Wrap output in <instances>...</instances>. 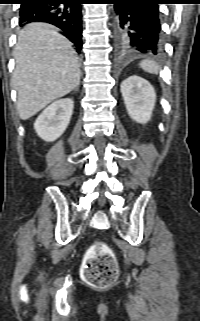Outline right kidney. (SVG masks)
<instances>
[{"label": "right kidney", "mask_w": 200, "mask_h": 321, "mask_svg": "<svg viewBox=\"0 0 200 321\" xmlns=\"http://www.w3.org/2000/svg\"><path fill=\"white\" fill-rule=\"evenodd\" d=\"M72 113V99L64 98L56 100L38 116L34 123V129L44 141H55L66 130Z\"/></svg>", "instance_id": "right-kidney-1"}]
</instances>
